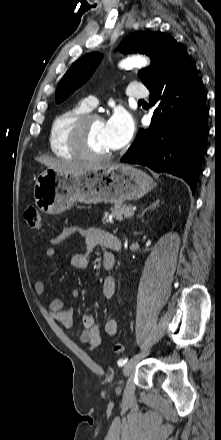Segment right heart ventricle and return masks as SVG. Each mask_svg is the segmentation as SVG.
<instances>
[{"instance_id": "e07e8e85", "label": "right heart ventricle", "mask_w": 221, "mask_h": 440, "mask_svg": "<svg viewBox=\"0 0 221 440\" xmlns=\"http://www.w3.org/2000/svg\"><path fill=\"white\" fill-rule=\"evenodd\" d=\"M91 109L84 100L66 108L54 117L49 131V146L56 156L65 159L79 158L70 143V128L78 117L89 113Z\"/></svg>"}]
</instances>
